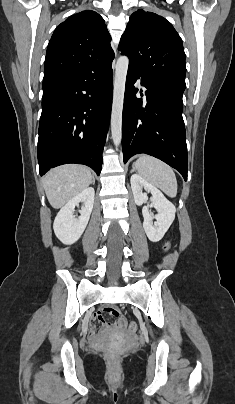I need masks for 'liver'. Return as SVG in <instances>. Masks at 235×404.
<instances>
[{
  "mask_svg": "<svg viewBox=\"0 0 235 404\" xmlns=\"http://www.w3.org/2000/svg\"><path fill=\"white\" fill-rule=\"evenodd\" d=\"M92 180L93 175L88 167L66 164L51 169L42 182L50 205L58 209L88 188Z\"/></svg>",
  "mask_w": 235,
  "mask_h": 404,
  "instance_id": "6515ba94",
  "label": "liver"
}]
</instances>
